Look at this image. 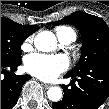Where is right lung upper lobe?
Returning a JSON list of instances; mask_svg holds the SVG:
<instances>
[{
	"label": "right lung upper lobe",
	"instance_id": "obj_1",
	"mask_svg": "<svg viewBox=\"0 0 109 109\" xmlns=\"http://www.w3.org/2000/svg\"><path fill=\"white\" fill-rule=\"evenodd\" d=\"M25 27L29 30V32L32 34L34 33L35 31H37L39 29V27L37 26H26Z\"/></svg>",
	"mask_w": 109,
	"mask_h": 109
}]
</instances>
